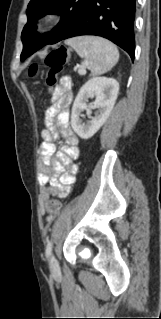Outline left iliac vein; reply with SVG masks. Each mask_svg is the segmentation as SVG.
I'll return each instance as SVG.
<instances>
[{"label":"left iliac vein","instance_id":"obj_1","mask_svg":"<svg viewBox=\"0 0 161 319\" xmlns=\"http://www.w3.org/2000/svg\"><path fill=\"white\" fill-rule=\"evenodd\" d=\"M49 264H50L51 272L53 274H57V273L60 272V267H59L58 261H57V259L55 258L54 255L50 256Z\"/></svg>","mask_w":161,"mask_h":319}]
</instances>
